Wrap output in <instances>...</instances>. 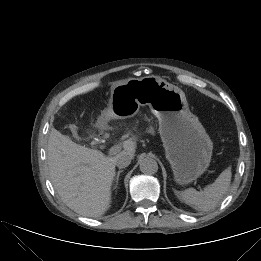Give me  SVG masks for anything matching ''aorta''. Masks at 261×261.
Returning a JSON list of instances; mask_svg holds the SVG:
<instances>
[{"instance_id": "1", "label": "aorta", "mask_w": 261, "mask_h": 261, "mask_svg": "<svg viewBox=\"0 0 261 261\" xmlns=\"http://www.w3.org/2000/svg\"><path fill=\"white\" fill-rule=\"evenodd\" d=\"M140 170L144 174L152 175L158 171V164L155 159L146 157L140 161Z\"/></svg>"}]
</instances>
